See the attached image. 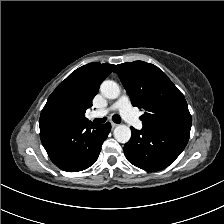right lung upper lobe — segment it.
<instances>
[{
  "instance_id": "obj_1",
  "label": "right lung upper lobe",
  "mask_w": 224,
  "mask_h": 224,
  "mask_svg": "<svg viewBox=\"0 0 224 224\" xmlns=\"http://www.w3.org/2000/svg\"><path fill=\"white\" fill-rule=\"evenodd\" d=\"M114 65L89 63L73 71L61 82L47 102L63 100L72 109L75 121L78 123L89 122L85 112L92 106V99L97 94L102 81L112 72Z\"/></svg>"
}]
</instances>
